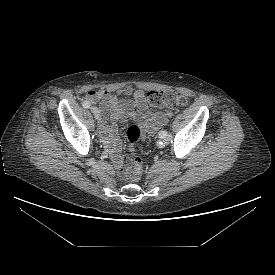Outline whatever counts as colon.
I'll use <instances>...</instances> for the list:
<instances>
[{
	"label": "colon",
	"mask_w": 275,
	"mask_h": 275,
	"mask_svg": "<svg viewBox=\"0 0 275 275\" xmlns=\"http://www.w3.org/2000/svg\"><path fill=\"white\" fill-rule=\"evenodd\" d=\"M147 101L150 105L164 108V107H182L186 104V97L175 90H155L150 91L147 95ZM142 134V130L137 125H132L127 129L126 135L130 143L131 151H133L135 144L138 142ZM125 176L131 181H137L142 175L141 159L135 157L128 159L124 169Z\"/></svg>",
	"instance_id": "obj_1"
}]
</instances>
